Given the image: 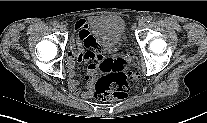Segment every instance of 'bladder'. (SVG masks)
Instances as JSON below:
<instances>
[{
	"mask_svg": "<svg viewBox=\"0 0 207 123\" xmlns=\"http://www.w3.org/2000/svg\"><path fill=\"white\" fill-rule=\"evenodd\" d=\"M91 28L101 46L109 52L117 50L123 43L125 23L119 16H102L93 18Z\"/></svg>",
	"mask_w": 207,
	"mask_h": 123,
	"instance_id": "obj_1",
	"label": "bladder"
}]
</instances>
